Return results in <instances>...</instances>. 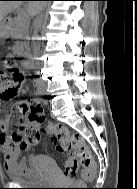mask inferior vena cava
I'll return each instance as SVG.
<instances>
[{"instance_id":"obj_1","label":"inferior vena cava","mask_w":137,"mask_h":189,"mask_svg":"<svg viewBox=\"0 0 137 189\" xmlns=\"http://www.w3.org/2000/svg\"><path fill=\"white\" fill-rule=\"evenodd\" d=\"M41 17H42V15H40V18H41ZM38 21H39V20H38ZM35 33H36V31H35ZM34 45L37 46V43L34 42ZM39 71H40V70H39ZM35 75L40 77L42 74H41V72H40V73H36ZM39 79H40V80H38V82H37V85H39L38 87H39V88H46V87H47V86H46V82H43V80H45L46 78H45V77H40Z\"/></svg>"}]
</instances>
